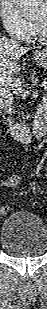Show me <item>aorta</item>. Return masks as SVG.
<instances>
[{"label":"aorta","instance_id":"obj_1","mask_svg":"<svg viewBox=\"0 0 47 309\" xmlns=\"http://www.w3.org/2000/svg\"><path fill=\"white\" fill-rule=\"evenodd\" d=\"M24 16H30L36 11V0H13Z\"/></svg>","mask_w":47,"mask_h":309}]
</instances>
